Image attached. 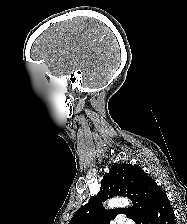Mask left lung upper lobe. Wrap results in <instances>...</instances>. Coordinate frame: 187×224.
I'll use <instances>...</instances> for the list:
<instances>
[{
    "mask_svg": "<svg viewBox=\"0 0 187 224\" xmlns=\"http://www.w3.org/2000/svg\"><path fill=\"white\" fill-rule=\"evenodd\" d=\"M101 184L98 194L75 212L69 224H109L118 214H125L137 224L146 216L160 190L144 170L126 163L113 165ZM116 195L129 197L134 206L105 210L102 202Z\"/></svg>",
    "mask_w": 187,
    "mask_h": 224,
    "instance_id": "5c2ea615",
    "label": "left lung upper lobe"
}]
</instances>
